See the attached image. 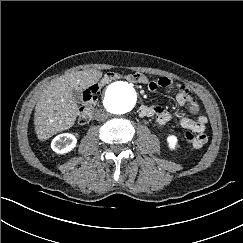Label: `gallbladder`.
I'll use <instances>...</instances> for the list:
<instances>
[{
  "instance_id": "gallbladder-1",
  "label": "gallbladder",
  "mask_w": 243,
  "mask_h": 243,
  "mask_svg": "<svg viewBox=\"0 0 243 243\" xmlns=\"http://www.w3.org/2000/svg\"><path fill=\"white\" fill-rule=\"evenodd\" d=\"M73 100L75 103H80L82 101V92L79 90L72 91Z\"/></svg>"
}]
</instances>
